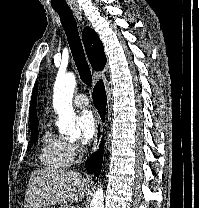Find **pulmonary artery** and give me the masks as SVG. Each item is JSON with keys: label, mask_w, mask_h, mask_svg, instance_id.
<instances>
[{"label": "pulmonary artery", "mask_w": 199, "mask_h": 208, "mask_svg": "<svg viewBox=\"0 0 199 208\" xmlns=\"http://www.w3.org/2000/svg\"><path fill=\"white\" fill-rule=\"evenodd\" d=\"M73 104L76 107H86L89 104V100L84 94H79L74 97Z\"/></svg>", "instance_id": "e3ab8cb5"}]
</instances>
